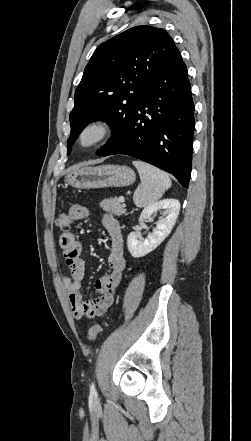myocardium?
I'll return each mask as SVG.
<instances>
[{
	"label": "myocardium",
	"instance_id": "f54148a6",
	"mask_svg": "<svg viewBox=\"0 0 251 441\" xmlns=\"http://www.w3.org/2000/svg\"><path fill=\"white\" fill-rule=\"evenodd\" d=\"M114 132L112 123L105 117L87 121L79 130L77 143L82 149H92L109 139Z\"/></svg>",
	"mask_w": 251,
	"mask_h": 441
}]
</instances>
